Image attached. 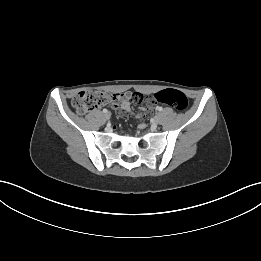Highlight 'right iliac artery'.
<instances>
[{
    "label": "right iliac artery",
    "instance_id": "82829eb1",
    "mask_svg": "<svg viewBox=\"0 0 261 261\" xmlns=\"http://www.w3.org/2000/svg\"><path fill=\"white\" fill-rule=\"evenodd\" d=\"M103 112L106 113V112H107V109H103Z\"/></svg>",
    "mask_w": 261,
    "mask_h": 261
}]
</instances>
